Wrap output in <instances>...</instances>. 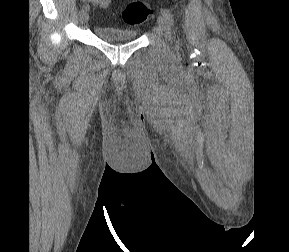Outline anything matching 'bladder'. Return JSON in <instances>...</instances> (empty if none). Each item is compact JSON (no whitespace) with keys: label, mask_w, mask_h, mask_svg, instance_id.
<instances>
[{"label":"bladder","mask_w":289,"mask_h":252,"mask_svg":"<svg viewBox=\"0 0 289 252\" xmlns=\"http://www.w3.org/2000/svg\"><path fill=\"white\" fill-rule=\"evenodd\" d=\"M94 33L99 39L109 43L129 42L138 37V32L135 30L113 26H97Z\"/></svg>","instance_id":"bladder-1"}]
</instances>
